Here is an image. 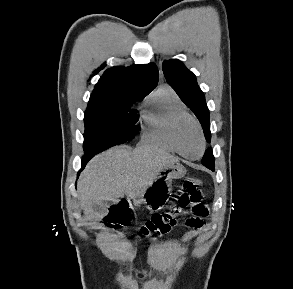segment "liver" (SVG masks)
I'll return each instance as SVG.
<instances>
[{"label": "liver", "instance_id": "liver-1", "mask_svg": "<svg viewBox=\"0 0 293 289\" xmlns=\"http://www.w3.org/2000/svg\"><path fill=\"white\" fill-rule=\"evenodd\" d=\"M178 158L153 145L129 150L115 147L94 157L78 181L80 205L88 219L98 216L94 204L140 197L161 170Z\"/></svg>", "mask_w": 293, "mask_h": 289}]
</instances>
